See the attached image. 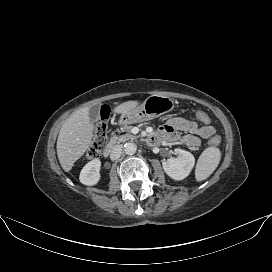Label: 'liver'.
<instances>
[{"label": "liver", "mask_w": 272, "mask_h": 272, "mask_svg": "<svg viewBox=\"0 0 272 272\" xmlns=\"http://www.w3.org/2000/svg\"><path fill=\"white\" fill-rule=\"evenodd\" d=\"M138 101L131 100L116 106L114 113L120 114L137 107ZM93 124L89 119V109L75 111L63 123L57 139V155L61 167L69 172L74 163L86 152L91 144Z\"/></svg>", "instance_id": "1"}]
</instances>
